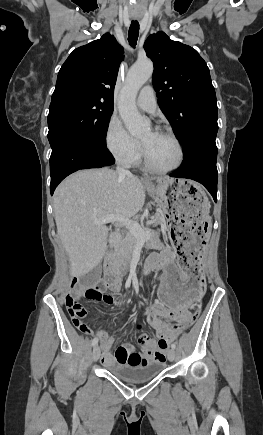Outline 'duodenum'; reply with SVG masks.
<instances>
[{
  "instance_id": "1",
  "label": "duodenum",
  "mask_w": 263,
  "mask_h": 435,
  "mask_svg": "<svg viewBox=\"0 0 263 435\" xmlns=\"http://www.w3.org/2000/svg\"><path fill=\"white\" fill-rule=\"evenodd\" d=\"M105 272L108 277V283L111 288L116 289L119 286L118 272L114 266V254L109 252L105 258Z\"/></svg>"
}]
</instances>
